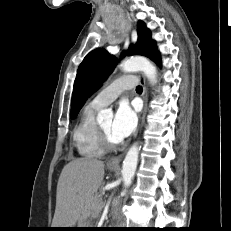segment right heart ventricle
Listing matches in <instances>:
<instances>
[{
    "label": "right heart ventricle",
    "mask_w": 231,
    "mask_h": 231,
    "mask_svg": "<svg viewBox=\"0 0 231 231\" xmlns=\"http://www.w3.org/2000/svg\"><path fill=\"white\" fill-rule=\"evenodd\" d=\"M99 108L86 106L73 131V143L78 154L84 158H99L105 150L100 145L95 114Z\"/></svg>",
    "instance_id": "1"
}]
</instances>
